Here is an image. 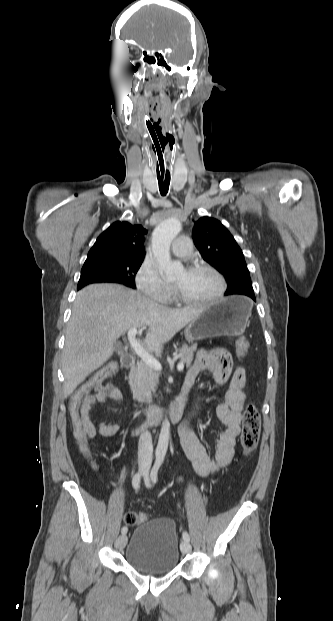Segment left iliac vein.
<instances>
[{
    "label": "left iliac vein",
    "instance_id": "1",
    "mask_svg": "<svg viewBox=\"0 0 333 621\" xmlns=\"http://www.w3.org/2000/svg\"><path fill=\"white\" fill-rule=\"evenodd\" d=\"M144 475H145L146 480H148V473H147V471L144 473ZM180 550H181V552L183 554H188V553L191 552L192 547H191L189 542L182 541L181 544H180Z\"/></svg>",
    "mask_w": 333,
    "mask_h": 621
}]
</instances>
